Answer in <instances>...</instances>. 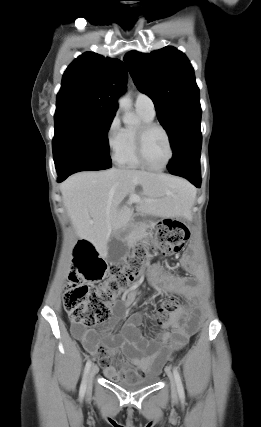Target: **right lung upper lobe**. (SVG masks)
<instances>
[{
    "label": "right lung upper lobe",
    "mask_w": 261,
    "mask_h": 427,
    "mask_svg": "<svg viewBox=\"0 0 261 427\" xmlns=\"http://www.w3.org/2000/svg\"><path fill=\"white\" fill-rule=\"evenodd\" d=\"M126 79L127 70L120 60L84 53L64 72L56 110L87 107L116 113Z\"/></svg>",
    "instance_id": "1"
}]
</instances>
